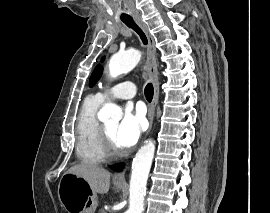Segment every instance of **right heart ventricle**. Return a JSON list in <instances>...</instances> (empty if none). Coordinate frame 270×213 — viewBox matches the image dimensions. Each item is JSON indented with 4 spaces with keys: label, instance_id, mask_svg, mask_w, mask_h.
<instances>
[{
    "label": "right heart ventricle",
    "instance_id": "obj_1",
    "mask_svg": "<svg viewBox=\"0 0 270 213\" xmlns=\"http://www.w3.org/2000/svg\"><path fill=\"white\" fill-rule=\"evenodd\" d=\"M100 105L101 102L94 96L88 97L76 122V154L80 160L93 164L108 158L102 146L101 124L96 117Z\"/></svg>",
    "mask_w": 270,
    "mask_h": 213
}]
</instances>
